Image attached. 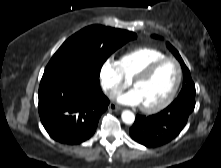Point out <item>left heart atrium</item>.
<instances>
[{"instance_id": "1", "label": "left heart atrium", "mask_w": 221, "mask_h": 168, "mask_svg": "<svg viewBox=\"0 0 221 168\" xmlns=\"http://www.w3.org/2000/svg\"><path fill=\"white\" fill-rule=\"evenodd\" d=\"M118 102L125 105H140L141 101L137 92L133 89L125 94L118 96Z\"/></svg>"}]
</instances>
